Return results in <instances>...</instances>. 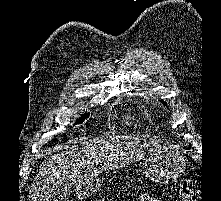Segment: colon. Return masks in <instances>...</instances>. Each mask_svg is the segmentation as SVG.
<instances>
[{
    "instance_id": "colon-1",
    "label": "colon",
    "mask_w": 221,
    "mask_h": 201,
    "mask_svg": "<svg viewBox=\"0 0 221 201\" xmlns=\"http://www.w3.org/2000/svg\"><path fill=\"white\" fill-rule=\"evenodd\" d=\"M180 197L182 201H196L194 188L187 180L181 182Z\"/></svg>"
}]
</instances>
